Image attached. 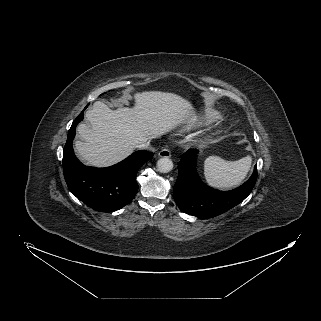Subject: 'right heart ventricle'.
I'll return each mask as SVG.
<instances>
[{
  "label": "right heart ventricle",
  "mask_w": 321,
  "mask_h": 321,
  "mask_svg": "<svg viewBox=\"0 0 321 321\" xmlns=\"http://www.w3.org/2000/svg\"><path fill=\"white\" fill-rule=\"evenodd\" d=\"M221 118L220 114L214 111L207 110L202 115L195 118L188 128L199 127L218 121Z\"/></svg>",
  "instance_id": "e07e8e85"
}]
</instances>
